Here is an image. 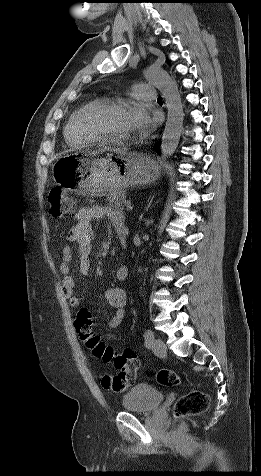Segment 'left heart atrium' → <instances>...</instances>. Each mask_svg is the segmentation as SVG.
<instances>
[{"mask_svg": "<svg viewBox=\"0 0 261 476\" xmlns=\"http://www.w3.org/2000/svg\"><path fill=\"white\" fill-rule=\"evenodd\" d=\"M130 121L132 131L145 136L155 128L158 119L151 117L142 105H136L131 108Z\"/></svg>", "mask_w": 261, "mask_h": 476, "instance_id": "39dd6f15", "label": "left heart atrium"}]
</instances>
